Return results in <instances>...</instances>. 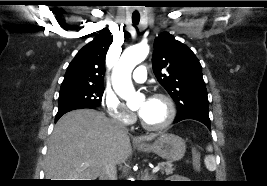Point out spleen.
Instances as JSON below:
<instances>
[{"label":"spleen","instance_id":"3e777b00","mask_svg":"<svg viewBox=\"0 0 267 186\" xmlns=\"http://www.w3.org/2000/svg\"><path fill=\"white\" fill-rule=\"evenodd\" d=\"M208 151H212V146L209 145L207 148ZM205 165L208 170L213 171L216 169L215 159L212 155H209L205 158Z\"/></svg>","mask_w":267,"mask_h":186}]
</instances>
